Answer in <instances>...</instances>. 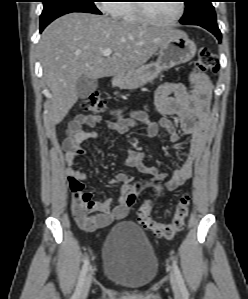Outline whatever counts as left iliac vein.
<instances>
[{
    "instance_id": "1",
    "label": "left iliac vein",
    "mask_w": 248,
    "mask_h": 299,
    "mask_svg": "<svg viewBox=\"0 0 248 299\" xmlns=\"http://www.w3.org/2000/svg\"><path fill=\"white\" fill-rule=\"evenodd\" d=\"M170 283H171L173 292L177 296H180L181 295V289H180L178 280H177L176 276L173 273L170 274Z\"/></svg>"
}]
</instances>
